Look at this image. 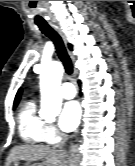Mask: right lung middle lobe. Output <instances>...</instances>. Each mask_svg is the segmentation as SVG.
Returning a JSON list of instances; mask_svg holds the SVG:
<instances>
[{
    "mask_svg": "<svg viewBox=\"0 0 135 166\" xmlns=\"http://www.w3.org/2000/svg\"><path fill=\"white\" fill-rule=\"evenodd\" d=\"M17 105H14L13 108L15 109Z\"/></svg>",
    "mask_w": 135,
    "mask_h": 166,
    "instance_id": "dd1d6c3e",
    "label": "right lung middle lobe"
}]
</instances>
